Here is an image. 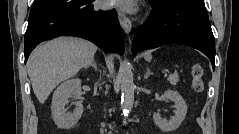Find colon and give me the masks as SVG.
Wrapping results in <instances>:
<instances>
[{
	"instance_id": "obj_1",
	"label": "colon",
	"mask_w": 239,
	"mask_h": 134,
	"mask_svg": "<svg viewBox=\"0 0 239 134\" xmlns=\"http://www.w3.org/2000/svg\"><path fill=\"white\" fill-rule=\"evenodd\" d=\"M193 76V85L194 88L199 91L202 88L201 76H202V68L199 65H194L191 70Z\"/></svg>"
}]
</instances>
